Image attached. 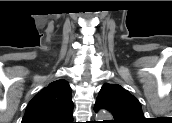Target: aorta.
Wrapping results in <instances>:
<instances>
[{
    "label": "aorta",
    "mask_w": 172,
    "mask_h": 123,
    "mask_svg": "<svg viewBox=\"0 0 172 123\" xmlns=\"http://www.w3.org/2000/svg\"><path fill=\"white\" fill-rule=\"evenodd\" d=\"M110 114L106 112L105 110L99 111L97 113V119H105V118H110Z\"/></svg>",
    "instance_id": "obj_1"
}]
</instances>
